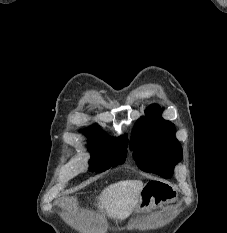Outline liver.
I'll return each instance as SVG.
<instances>
[{
	"label": "liver",
	"instance_id": "1",
	"mask_svg": "<svg viewBox=\"0 0 227 233\" xmlns=\"http://www.w3.org/2000/svg\"><path fill=\"white\" fill-rule=\"evenodd\" d=\"M142 188L141 180H124L111 184L101 192L98 205L108 217L124 220L136 208Z\"/></svg>",
	"mask_w": 227,
	"mask_h": 233
}]
</instances>
